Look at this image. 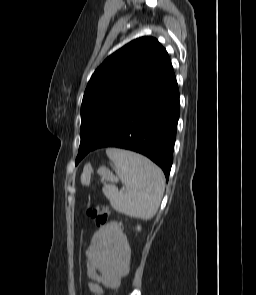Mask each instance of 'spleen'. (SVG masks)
Instances as JSON below:
<instances>
[{"instance_id":"1","label":"spleen","mask_w":256,"mask_h":295,"mask_svg":"<svg viewBox=\"0 0 256 295\" xmlns=\"http://www.w3.org/2000/svg\"><path fill=\"white\" fill-rule=\"evenodd\" d=\"M106 154L116 176L105 167H100L98 173L103 180L111 182L103 187V193L111 206L128 216L142 219L154 217L165 189L162 170L148 158L135 152L109 148ZM92 171L90 165L84 167L82 184H90ZM119 180L125 185V191H119L115 186L114 183Z\"/></svg>"}]
</instances>
